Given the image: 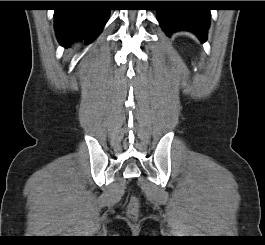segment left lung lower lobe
<instances>
[{
  "label": "left lung lower lobe",
  "mask_w": 265,
  "mask_h": 245,
  "mask_svg": "<svg viewBox=\"0 0 265 245\" xmlns=\"http://www.w3.org/2000/svg\"><path fill=\"white\" fill-rule=\"evenodd\" d=\"M181 3V2H180ZM170 8L158 10V21L167 36L177 30H187L195 33L202 42L207 39L210 25V10L198 8ZM186 4H198L196 1H186Z\"/></svg>",
  "instance_id": "obj_1"
}]
</instances>
